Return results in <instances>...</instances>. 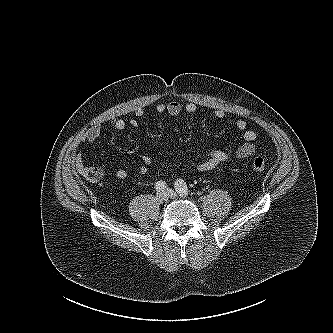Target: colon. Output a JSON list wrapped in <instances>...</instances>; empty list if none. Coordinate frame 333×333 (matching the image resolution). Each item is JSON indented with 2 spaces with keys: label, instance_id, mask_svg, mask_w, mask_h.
Returning a JSON list of instances; mask_svg holds the SVG:
<instances>
[{
  "label": "colon",
  "instance_id": "obj_1",
  "mask_svg": "<svg viewBox=\"0 0 333 333\" xmlns=\"http://www.w3.org/2000/svg\"><path fill=\"white\" fill-rule=\"evenodd\" d=\"M251 165H252V168L258 172H263L267 168V162H266L265 158H263L262 156L254 157L252 159Z\"/></svg>",
  "mask_w": 333,
  "mask_h": 333
}]
</instances>
